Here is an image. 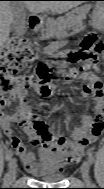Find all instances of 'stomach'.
Masks as SVG:
<instances>
[{"label":"stomach","instance_id":"1","mask_svg":"<svg viewBox=\"0 0 104 189\" xmlns=\"http://www.w3.org/2000/svg\"><path fill=\"white\" fill-rule=\"evenodd\" d=\"M103 7V4L101 2H98L95 6V10L93 12V24L96 25V23L98 22L99 19H101V11Z\"/></svg>","mask_w":104,"mask_h":189}]
</instances>
